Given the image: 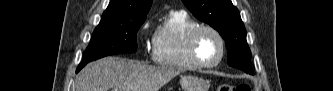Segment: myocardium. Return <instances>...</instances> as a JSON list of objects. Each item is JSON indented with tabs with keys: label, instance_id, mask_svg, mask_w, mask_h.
Segmentation results:
<instances>
[{
	"label": "myocardium",
	"instance_id": "f54148a6",
	"mask_svg": "<svg viewBox=\"0 0 333 91\" xmlns=\"http://www.w3.org/2000/svg\"><path fill=\"white\" fill-rule=\"evenodd\" d=\"M204 31L211 32L213 35H215V37L218 39L219 44H220L219 57L216 61L211 62V63L203 62L199 58L198 53H197L198 37ZM187 42H188V51H189L190 57H191L192 61L199 68H206V69L214 68V67L218 66L225 57V53H226L225 39H224L223 35L215 27H213L211 25H197L188 34Z\"/></svg>",
	"mask_w": 333,
	"mask_h": 91
}]
</instances>
